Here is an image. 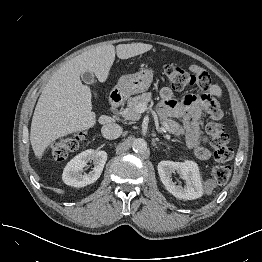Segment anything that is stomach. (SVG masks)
<instances>
[{
    "label": "stomach",
    "mask_w": 262,
    "mask_h": 262,
    "mask_svg": "<svg viewBox=\"0 0 262 262\" xmlns=\"http://www.w3.org/2000/svg\"><path fill=\"white\" fill-rule=\"evenodd\" d=\"M153 77V70L142 69L135 74L121 76L115 88L123 96L141 93L149 89Z\"/></svg>",
    "instance_id": "0dacf381"
}]
</instances>
